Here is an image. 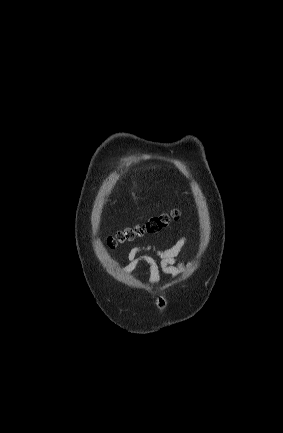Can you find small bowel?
Instances as JSON below:
<instances>
[{
  "mask_svg": "<svg viewBox=\"0 0 283 433\" xmlns=\"http://www.w3.org/2000/svg\"><path fill=\"white\" fill-rule=\"evenodd\" d=\"M187 240V236H182L168 249H160L153 245L133 247L127 254L128 263L124 271L136 275L137 266L145 263L149 268V285L156 284L161 274L170 275L175 279L185 270L181 252Z\"/></svg>",
  "mask_w": 283,
  "mask_h": 433,
  "instance_id": "obj_1",
  "label": "small bowel"
}]
</instances>
